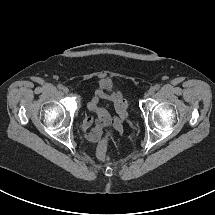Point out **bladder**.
I'll return each mask as SVG.
<instances>
[{"mask_svg":"<svg viewBox=\"0 0 215 215\" xmlns=\"http://www.w3.org/2000/svg\"><path fill=\"white\" fill-rule=\"evenodd\" d=\"M112 87V82L110 80H103L99 84V88L108 90Z\"/></svg>","mask_w":215,"mask_h":215,"instance_id":"obj_1","label":"bladder"}]
</instances>
